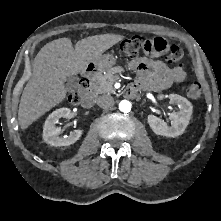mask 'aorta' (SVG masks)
Segmentation results:
<instances>
[{"mask_svg":"<svg viewBox=\"0 0 221 221\" xmlns=\"http://www.w3.org/2000/svg\"><path fill=\"white\" fill-rule=\"evenodd\" d=\"M131 107H132V104L128 100H122L119 103V110L122 112H125V113L129 112L131 110Z\"/></svg>","mask_w":221,"mask_h":221,"instance_id":"obj_1","label":"aorta"}]
</instances>
